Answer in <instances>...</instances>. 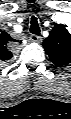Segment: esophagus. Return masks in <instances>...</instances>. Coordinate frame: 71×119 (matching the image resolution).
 Wrapping results in <instances>:
<instances>
[{"label":"esophagus","instance_id":"obj_1","mask_svg":"<svg viewBox=\"0 0 71 119\" xmlns=\"http://www.w3.org/2000/svg\"><path fill=\"white\" fill-rule=\"evenodd\" d=\"M30 40H31L32 42L39 43V42L42 41V37L32 34V35L30 36Z\"/></svg>","mask_w":71,"mask_h":119}]
</instances>
